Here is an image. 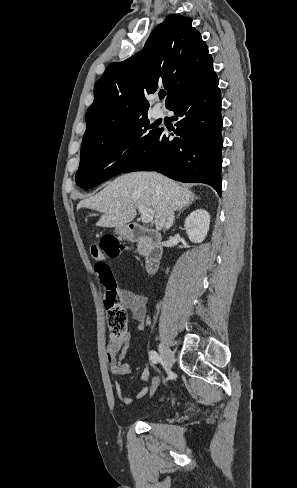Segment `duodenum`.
I'll return each instance as SVG.
<instances>
[{
    "label": "duodenum",
    "instance_id": "410a0bca",
    "mask_svg": "<svg viewBox=\"0 0 297 488\" xmlns=\"http://www.w3.org/2000/svg\"><path fill=\"white\" fill-rule=\"evenodd\" d=\"M123 235L127 240L143 246L145 269L149 274L154 273L160 266L163 255L160 234L139 224H129L123 229Z\"/></svg>",
    "mask_w": 297,
    "mask_h": 488
}]
</instances>
